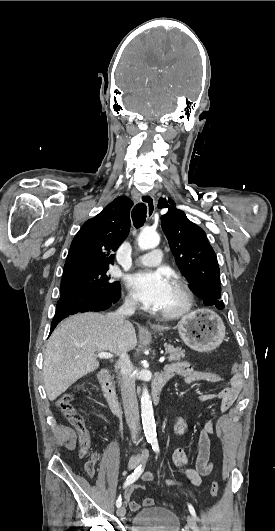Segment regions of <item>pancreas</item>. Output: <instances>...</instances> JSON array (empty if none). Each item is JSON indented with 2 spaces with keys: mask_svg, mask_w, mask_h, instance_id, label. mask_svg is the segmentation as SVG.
<instances>
[{
  "mask_svg": "<svg viewBox=\"0 0 275 531\" xmlns=\"http://www.w3.org/2000/svg\"><path fill=\"white\" fill-rule=\"evenodd\" d=\"M164 347L165 353L169 355L168 361H170V363H175V361H180V359H184L185 351L184 349H181V347H173V345H167V343H165Z\"/></svg>",
  "mask_w": 275,
  "mask_h": 531,
  "instance_id": "cf45deb5",
  "label": "pancreas"
}]
</instances>
